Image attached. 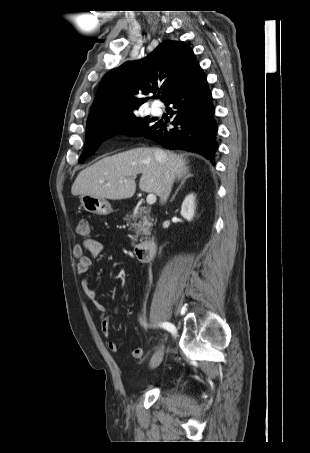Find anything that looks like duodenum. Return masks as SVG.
<instances>
[{"label": "duodenum", "mask_w": 310, "mask_h": 453, "mask_svg": "<svg viewBox=\"0 0 310 453\" xmlns=\"http://www.w3.org/2000/svg\"><path fill=\"white\" fill-rule=\"evenodd\" d=\"M156 244L154 238L142 241L135 247V255L140 262L150 261L155 254Z\"/></svg>", "instance_id": "410a0bca"}]
</instances>
